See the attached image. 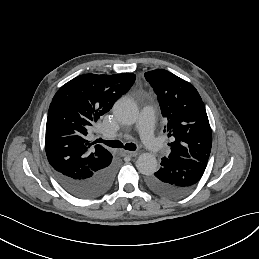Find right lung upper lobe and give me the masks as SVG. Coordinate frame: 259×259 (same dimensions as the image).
I'll use <instances>...</instances> for the list:
<instances>
[{"instance_id": "cb5924a9", "label": "right lung upper lobe", "mask_w": 259, "mask_h": 259, "mask_svg": "<svg viewBox=\"0 0 259 259\" xmlns=\"http://www.w3.org/2000/svg\"><path fill=\"white\" fill-rule=\"evenodd\" d=\"M135 79L132 73L84 74L57 91L49 107L45 136L46 155L55 172L86 179L111 164V153L86 136Z\"/></svg>"}]
</instances>
